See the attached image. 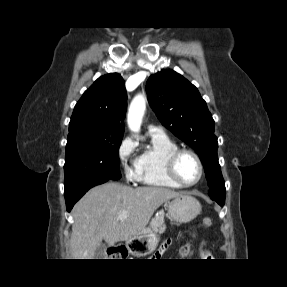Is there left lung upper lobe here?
Segmentation results:
<instances>
[{
  "label": "left lung upper lobe",
  "instance_id": "1",
  "mask_svg": "<svg viewBox=\"0 0 287 287\" xmlns=\"http://www.w3.org/2000/svg\"><path fill=\"white\" fill-rule=\"evenodd\" d=\"M146 91L150 106L161 123L199 155L210 198L225 201L214 120L197 88L179 73L163 69L149 77Z\"/></svg>",
  "mask_w": 287,
  "mask_h": 287
}]
</instances>
